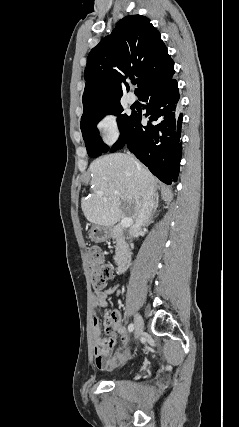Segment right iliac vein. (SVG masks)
Wrapping results in <instances>:
<instances>
[{
	"instance_id": "right-iliac-vein-1",
	"label": "right iliac vein",
	"mask_w": 239,
	"mask_h": 427,
	"mask_svg": "<svg viewBox=\"0 0 239 427\" xmlns=\"http://www.w3.org/2000/svg\"><path fill=\"white\" fill-rule=\"evenodd\" d=\"M134 326H135L134 336L137 339L142 335L143 328H144L143 318L139 314L135 315Z\"/></svg>"
}]
</instances>
